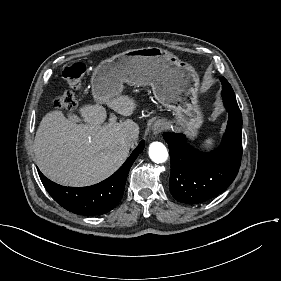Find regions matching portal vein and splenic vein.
I'll use <instances>...</instances> for the list:
<instances>
[{
  "label": "portal vein and splenic vein",
  "mask_w": 281,
  "mask_h": 281,
  "mask_svg": "<svg viewBox=\"0 0 281 281\" xmlns=\"http://www.w3.org/2000/svg\"><path fill=\"white\" fill-rule=\"evenodd\" d=\"M109 123H110V124L115 123V119H114V117H112V118H110V119H109Z\"/></svg>",
  "instance_id": "1"
}]
</instances>
